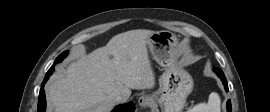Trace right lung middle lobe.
<instances>
[{
    "label": "right lung middle lobe",
    "instance_id": "right-lung-middle-lobe-1",
    "mask_svg": "<svg viewBox=\"0 0 270 112\" xmlns=\"http://www.w3.org/2000/svg\"><path fill=\"white\" fill-rule=\"evenodd\" d=\"M67 54H68V51L63 52L62 54H60V55L57 57V59H56L55 62L58 63V62L62 61V60L66 57Z\"/></svg>",
    "mask_w": 270,
    "mask_h": 112
}]
</instances>
